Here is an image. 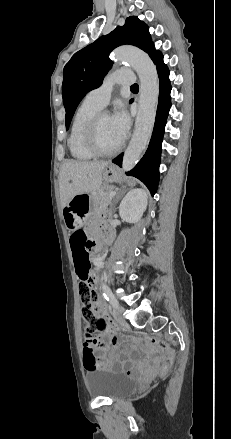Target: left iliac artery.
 <instances>
[{"mask_svg": "<svg viewBox=\"0 0 231 439\" xmlns=\"http://www.w3.org/2000/svg\"><path fill=\"white\" fill-rule=\"evenodd\" d=\"M102 291H103L104 298L107 301H109L112 304V306H117L118 305V302L115 299L112 291L110 290V288L105 283L102 284Z\"/></svg>", "mask_w": 231, "mask_h": 439, "instance_id": "1", "label": "left iliac artery"}]
</instances>
